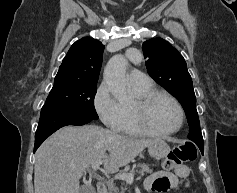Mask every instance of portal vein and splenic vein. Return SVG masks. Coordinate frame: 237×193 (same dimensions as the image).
<instances>
[{"label":"portal vein and splenic vein","instance_id":"obj_1","mask_svg":"<svg viewBox=\"0 0 237 193\" xmlns=\"http://www.w3.org/2000/svg\"><path fill=\"white\" fill-rule=\"evenodd\" d=\"M102 164V161H96L94 163H92V169L93 171H97V169H99V166ZM114 179L117 180H125L128 183H132L134 181V174L129 172V173H122V174H117L114 176Z\"/></svg>","mask_w":237,"mask_h":193}]
</instances>
